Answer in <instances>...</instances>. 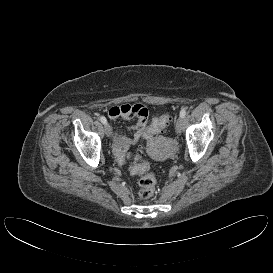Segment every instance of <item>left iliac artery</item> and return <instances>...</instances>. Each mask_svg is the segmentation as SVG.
Returning <instances> with one entry per match:
<instances>
[{
	"label": "left iliac artery",
	"instance_id": "1",
	"mask_svg": "<svg viewBox=\"0 0 273 273\" xmlns=\"http://www.w3.org/2000/svg\"><path fill=\"white\" fill-rule=\"evenodd\" d=\"M185 115H186V110H185V109H182V110L180 111V117L184 118Z\"/></svg>",
	"mask_w": 273,
	"mask_h": 273
}]
</instances>
